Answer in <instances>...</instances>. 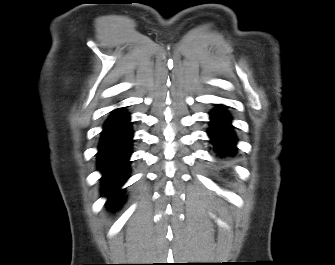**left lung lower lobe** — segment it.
I'll list each match as a JSON object with an SVG mask.
<instances>
[{
  "mask_svg": "<svg viewBox=\"0 0 335 265\" xmlns=\"http://www.w3.org/2000/svg\"><path fill=\"white\" fill-rule=\"evenodd\" d=\"M210 115L211 122L208 135L212 140L214 150L221 157L234 156L237 139L232 131L229 114L219 106Z\"/></svg>",
  "mask_w": 335,
  "mask_h": 265,
  "instance_id": "obj_1",
  "label": "left lung lower lobe"
}]
</instances>
